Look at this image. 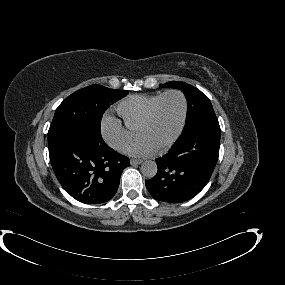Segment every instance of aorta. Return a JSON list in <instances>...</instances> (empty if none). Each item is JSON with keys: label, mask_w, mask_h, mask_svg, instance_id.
Listing matches in <instances>:
<instances>
[{"label": "aorta", "mask_w": 285, "mask_h": 285, "mask_svg": "<svg viewBox=\"0 0 285 285\" xmlns=\"http://www.w3.org/2000/svg\"><path fill=\"white\" fill-rule=\"evenodd\" d=\"M140 170L145 177L153 178L157 173L158 167L155 161L147 160L142 163Z\"/></svg>", "instance_id": "762f6f07"}]
</instances>
